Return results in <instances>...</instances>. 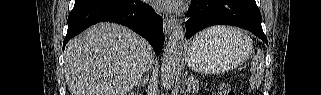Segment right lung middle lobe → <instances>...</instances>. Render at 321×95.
<instances>
[{"label": "right lung middle lobe", "mask_w": 321, "mask_h": 95, "mask_svg": "<svg viewBox=\"0 0 321 95\" xmlns=\"http://www.w3.org/2000/svg\"><path fill=\"white\" fill-rule=\"evenodd\" d=\"M104 1H109V0H75L74 6L82 5V4H90V3H99Z\"/></svg>", "instance_id": "dd1d6c3e"}]
</instances>
